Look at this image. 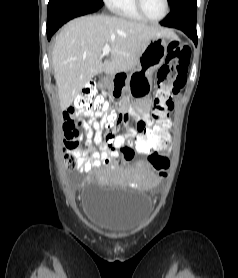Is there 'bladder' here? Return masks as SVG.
I'll list each match as a JSON object with an SVG mask.
<instances>
[{"instance_id":"obj_1","label":"bladder","mask_w":238,"mask_h":278,"mask_svg":"<svg viewBox=\"0 0 238 278\" xmlns=\"http://www.w3.org/2000/svg\"><path fill=\"white\" fill-rule=\"evenodd\" d=\"M85 216L97 230L127 236L137 232L147 222L152 203L148 196L122 187L87 186L84 195Z\"/></svg>"}]
</instances>
